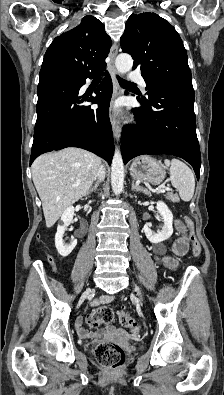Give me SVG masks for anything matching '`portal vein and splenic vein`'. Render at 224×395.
<instances>
[{
	"label": "portal vein and splenic vein",
	"mask_w": 224,
	"mask_h": 395,
	"mask_svg": "<svg viewBox=\"0 0 224 395\" xmlns=\"http://www.w3.org/2000/svg\"><path fill=\"white\" fill-rule=\"evenodd\" d=\"M168 190H170V188H168V187H163L162 189H160V190L158 191V193H163V192L168 191Z\"/></svg>",
	"instance_id": "obj_1"
}]
</instances>
